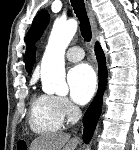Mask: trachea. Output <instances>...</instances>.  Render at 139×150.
Returning a JSON list of instances; mask_svg holds the SVG:
<instances>
[{"label": "trachea", "instance_id": "1", "mask_svg": "<svg viewBox=\"0 0 139 150\" xmlns=\"http://www.w3.org/2000/svg\"><path fill=\"white\" fill-rule=\"evenodd\" d=\"M76 16L80 21V31L85 41L91 40V26L86 13L84 0H70Z\"/></svg>", "mask_w": 139, "mask_h": 150}]
</instances>
